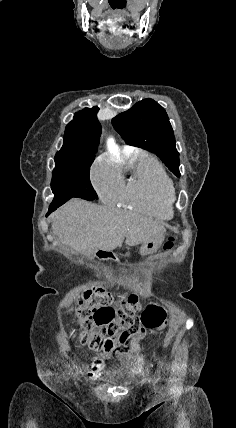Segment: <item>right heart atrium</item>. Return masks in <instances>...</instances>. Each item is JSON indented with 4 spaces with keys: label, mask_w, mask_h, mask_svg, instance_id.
Here are the masks:
<instances>
[{
    "label": "right heart atrium",
    "mask_w": 236,
    "mask_h": 428,
    "mask_svg": "<svg viewBox=\"0 0 236 428\" xmlns=\"http://www.w3.org/2000/svg\"><path fill=\"white\" fill-rule=\"evenodd\" d=\"M90 181L104 204L118 202L123 193L124 182L118 170L104 157H99L90 169Z\"/></svg>",
    "instance_id": "1"
}]
</instances>
